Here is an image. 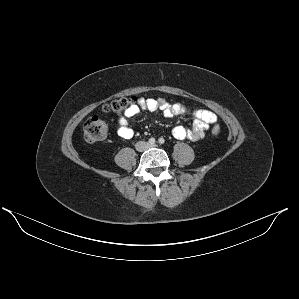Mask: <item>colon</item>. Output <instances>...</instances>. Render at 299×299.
Returning a JSON list of instances; mask_svg holds the SVG:
<instances>
[{
  "instance_id": "obj_1",
  "label": "colon",
  "mask_w": 299,
  "mask_h": 299,
  "mask_svg": "<svg viewBox=\"0 0 299 299\" xmlns=\"http://www.w3.org/2000/svg\"><path fill=\"white\" fill-rule=\"evenodd\" d=\"M137 103L136 98H120L107 103L104 111L110 114H120L126 112ZM109 126L107 121L98 117L89 118L83 128V138L87 142H97L104 140L108 135ZM212 132L215 135L220 133L218 125H214Z\"/></svg>"
}]
</instances>
